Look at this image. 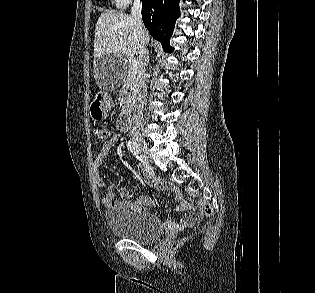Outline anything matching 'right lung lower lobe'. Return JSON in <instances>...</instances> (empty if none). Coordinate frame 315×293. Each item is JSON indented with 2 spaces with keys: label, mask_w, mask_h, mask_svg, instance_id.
<instances>
[{
  "label": "right lung lower lobe",
  "mask_w": 315,
  "mask_h": 293,
  "mask_svg": "<svg viewBox=\"0 0 315 293\" xmlns=\"http://www.w3.org/2000/svg\"><path fill=\"white\" fill-rule=\"evenodd\" d=\"M180 0H142V19L152 37L161 42L165 51L169 46L176 19L180 16Z\"/></svg>",
  "instance_id": "right-lung-lower-lobe-1"
}]
</instances>
